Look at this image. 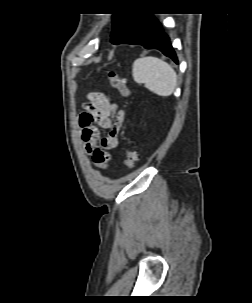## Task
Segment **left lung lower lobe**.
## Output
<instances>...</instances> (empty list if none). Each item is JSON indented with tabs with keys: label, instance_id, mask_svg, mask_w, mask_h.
Segmentation results:
<instances>
[{
	"label": "left lung lower lobe",
	"instance_id": "obj_1",
	"mask_svg": "<svg viewBox=\"0 0 252 303\" xmlns=\"http://www.w3.org/2000/svg\"><path fill=\"white\" fill-rule=\"evenodd\" d=\"M142 45L146 49H157L178 64L169 38L152 14H147L134 29L117 44Z\"/></svg>",
	"mask_w": 252,
	"mask_h": 303
}]
</instances>
